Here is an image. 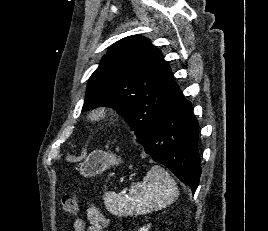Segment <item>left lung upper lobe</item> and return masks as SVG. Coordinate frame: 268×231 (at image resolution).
I'll return each mask as SVG.
<instances>
[{"label": "left lung upper lobe", "instance_id": "5c2ea615", "mask_svg": "<svg viewBox=\"0 0 268 231\" xmlns=\"http://www.w3.org/2000/svg\"><path fill=\"white\" fill-rule=\"evenodd\" d=\"M180 92L160 50L144 37L128 36L111 45L89 78L83 109L113 107L139 138Z\"/></svg>", "mask_w": 268, "mask_h": 231}]
</instances>
